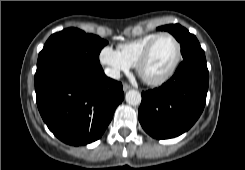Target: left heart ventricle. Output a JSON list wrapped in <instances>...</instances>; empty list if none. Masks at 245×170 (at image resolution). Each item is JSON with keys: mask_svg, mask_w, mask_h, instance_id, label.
I'll use <instances>...</instances> for the list:
<instances>
[{"mask_svg": "<svg viewBox=\"0 0 245 170\" xmlns=\"http://www.w3.org/2000/svg\"><path fill=\"white\" fill-rule=\"evenodd\" d=\"M176 53V44L170 37L160 38L142 67L143 75L149 79L159 78L170 68Z\"/></svg>", "mask_w": 245, "mask_h": 170, "instance_id": "b2bd125f", "label": "left heart ventricle"}]
</instances>
